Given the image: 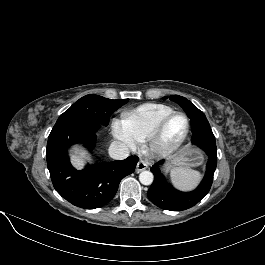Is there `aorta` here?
I'll return each instance as SVG.
<instances>
[{
  "label": "aorta",
  "mask_w": 265,
  "mask_h": 265,
  "mask_svg": "<svg viewBox=\"0 0 265 265\" xmlns=\"http://www.w3.org/2000/svg\"><path fill=\"white\" fill-rule=\"evenodd\" d=\"M139 180L143 185H150L154 180V176L150 171H142L139 174Z\"/></svg>",
  "instance_id": "obj_1"
}]
</instances>
